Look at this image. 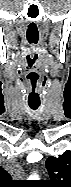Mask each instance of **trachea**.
I'll list each match as a JSON object with an SVG mask.
<instances>
[{"mask_svg": "<svg viewBox=\"0 0 71 187\" xmlns=\"http://www.w3.org/2000/svg\"><path fill=\"white\" fill-rule=\"evenodd\" d=\"M29 106L33 110H36L39 107V105H35V104H30Z\"/></svg>", "mask_w": 71, "mask_h": 187, "instance_id": "1", "label": "trachea"}]
</instances>
